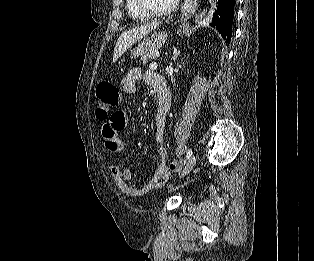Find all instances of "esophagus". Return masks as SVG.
I'll return each instance as SVG.
<instances>
[{
  "instance_id": "esophagus-1",
  "label": "esophagus",
  "mask_w": 314,
  "mask_h": 261,
  "mask_svg": "<svg viewBox=\"0 0 314 261\" xmlns=\"http://www.w3.org/2000/svg\"><path fill=\"white\" fill-rule=\"evenodd\" d=\"M197 6V2L192 1V0H186L185 4H184V13L186 15H191L194 13L195 9Z\"/></svg>"
}]
</instances>
